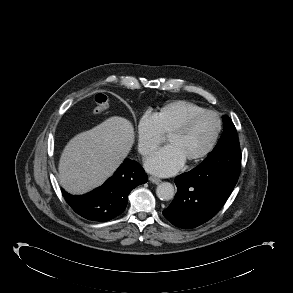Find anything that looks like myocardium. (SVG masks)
<instances>
[{"label":"myocardium","mask_w":293,"mask_h":293,"mask_svg":"<svg viewBox=\"0 0 293 293\" xmlns=\"http://www.w3.org/2000/svg\"><path fill=\"white\" fill-rule=\"evenodd\" d=\"M204 115H211L215 118L216 120V131L215 134L211 140V142L209 143V145L198 155H196L195 157H193L192 159L186 161L188 165H193L196 163H199L200 161L204 160L215 148V146L217 145V142L219 140L221 131H222V120L219 116V114L213 110H202L199 112H196L192 115H190L181 125H179L177 128H175L173 131H171L168 134V137L170 136H178V135H182L184 133H186L190 127L192 126V124L201 116Z\"/></svg>","instance_id":"1"}]
</instances>
